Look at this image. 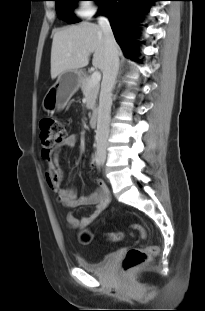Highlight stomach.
<instances>
[{
  "label": "stomach",
  "mask_w": 205,
  "mask_h": 311,
  "mask_svg": "<svg viewBox=\"0 0 205 311\" xmlns=\"http://www.w3.org/2000/svg\"><path fill=\"white\" fill-rule=\"evenodd\" d=\"M81 78L82 72L78 70L59 74L56 83L49 88L43 99V108L48 112L62 110L78 91Z\"/></svg>",
  "instance_id": "1"
}]
</instances>
